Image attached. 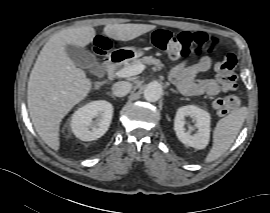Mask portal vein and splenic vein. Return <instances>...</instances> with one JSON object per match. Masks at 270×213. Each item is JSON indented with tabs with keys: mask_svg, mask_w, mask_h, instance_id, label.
<instances>
[{
	"mask_svg": "<svg viewBox=\"0 0 270 213\" xmlns=\"http://www.w3.org/2000/svg\"><path fill=\"white\" fill-rule=\"evenodd\" d=\"M144 69H145L144 64H135L117 71L116 76L119 78H127L140 74Z\"/></svg>",
	"mask_w": 270,
	"mask_h": 213,
	"instance_id": "1",
	"label": "portal vein and splenic vein"
}]
</instances>
